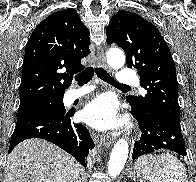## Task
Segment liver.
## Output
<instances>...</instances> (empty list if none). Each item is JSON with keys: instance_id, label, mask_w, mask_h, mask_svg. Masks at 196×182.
<instances>
[{"instance_id": "6515ba94", "label": "liver", "mask_w": 196, "mask_h": 182, "mask_svg": "<svg viewBox=\"0 0 196 182\" xmlns=\"http://www.w3.org/2000/svg\"><path fill=\"white\" fill-rule=\"evenodd\" d=\"M77 161L42 139H27L10 153L5 167V182H76Z\"/></svg>"}]
</instances>
